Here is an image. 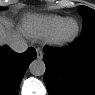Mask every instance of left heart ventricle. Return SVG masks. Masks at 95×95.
Wrapping results in <instances>:
<instances>
[{
    "label": "left heart ventricle",
    "mask_w": 95,
    "mask_h": 95,
    "mask_svg": "<svg viewBox=\"0 0 95 95\" xmlns=\"http://www.w3.org/2000/svg\"><path fill=\"white\" fill-rule=\"evenodd\" d=\"M77 30V24L75 21H70L64 28L63 36L64 37H70L74 35V33Z\"/></svg>",
    "instance_id": "b2bd125f"
}]
</instances>
